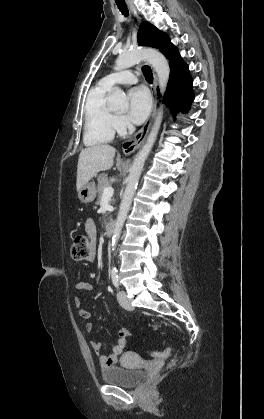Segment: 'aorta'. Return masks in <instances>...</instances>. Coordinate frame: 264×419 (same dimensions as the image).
<instances>
[{
	"instance_id": "aorta-1",
	"label": "aorta",
	"mask_w": 264,
	"mask_h": 419,
	"mask_svg": "<svg viewBox=\"0 0 264 419\" xmlns=\"http://www.w3.org/2000/svg\"><path fill=\"white\" fill-rule=\"evenodd\" d=\"M142 60L147 61L154 68L158 76L160 91L163 94L168 84L170 68L168 61L160 52L152 49H137L126 53H121L115 62V70L119 71L132 67L133 65L139 63ZM108 105L111 108L116 109L128 106V100L125 92L120 88H115L108 99ZM162 118L163 109L161 107L155 116L154 123L148 135L146 143L139 151V153L136 155L132 163L130 174L128 176V183L124 195L122 197L119 212L115 222L111 244L112 251L115 250L118 240L120 238L122 228L126 220L132 202V198L136 191L145 160L156 141L161 126Z\"/></svg>"
}]
</instances>
